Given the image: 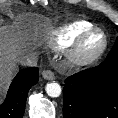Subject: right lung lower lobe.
<instances>
[{
	"label": "right lung lower lobe",
	"instance_id": "1",
	"mask_svg": "<svg viewBox=\"0 0 118 118\" xmlns=\"http://www.w3.org/2000/svg\"><path fill=\"white\" fill-rule=\"evenodd\" d=\"M39 69L26 68L14 78L7 97L0 105V118H22L29 89L38 82Z\"/></svg>",
	"mask_w": 118,
	"mask_h": 118
}]
</instances>
